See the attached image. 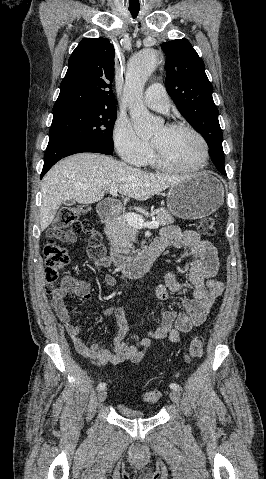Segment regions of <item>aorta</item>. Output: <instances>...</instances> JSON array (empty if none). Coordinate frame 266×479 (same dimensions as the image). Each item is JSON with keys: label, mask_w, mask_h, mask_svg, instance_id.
<instances>
[{"label": "aorta", "mask_w": 266, "mask_h": 479, "mask_svg": "<svg viewBox=\"0 0 266 479\" xmlns=\"http://www.w3.org/2000/svg\"><path fill=\"white\" fill-rule=\"evenodd\" d=\"M158 61L153 49L142 50L131 57L127 65V81L123 101L129 108L133 126L139 136H149L161 122L151 116L142 101L143 89Z\"/></svg>", "instance_id": "obj_1"}]
</instances>
